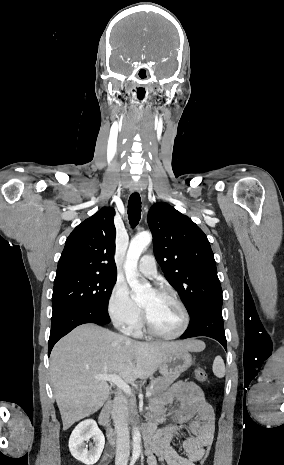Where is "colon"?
<instances>
[{"label":"colon","mask_w":284,"mask_h":465,"mask_svg":"<svg viewBox=\"0 0 284 465\" xmlns=\"http://www.w3.org/2000/svg\"><path fill=\"white\" fill-rule=\"evenodd\" d=\"M194 374L198 381L204 382L207 380V374L203 368H197ZM204 449H205V457H202V462H207V458L211 457V450L213 449V446L210 443H207L204 446Z\"/></svg>","instance_id":"1"}]
</instances>
